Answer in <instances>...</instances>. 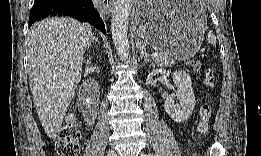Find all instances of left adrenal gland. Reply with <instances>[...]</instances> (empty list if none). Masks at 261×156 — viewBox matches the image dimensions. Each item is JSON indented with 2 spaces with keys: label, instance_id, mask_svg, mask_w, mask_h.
<instances>
[{
  "label": "left adrenal gland",
  "instance_id": "obj_1",
  "mask_svg": "<svg viewBox=\"0 0 261 156\" xmlns=\"http://www.w3.org/2000/svg\"><path fill=\"white\" fill-rule=\"evenodd\" d=\"M136 46L139 50V53H140V58L147 62V63H150L151 62V57L149 55V53L146 52V49L145 47L142 45V43L140 41H137L136 42ZM154 66V63L152 64Z\"/></svg>",
  "mask_w": 261,
  "mask_h": 156
}]
</instances>
